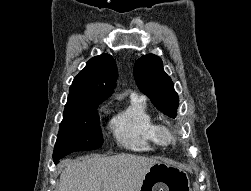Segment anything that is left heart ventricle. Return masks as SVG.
Segmentation results:
<instances>
[{
  "mask_svg": "<svg viewBox=\"0 0 251 191\" xmlns=\"http://www.w3.org/2000/svg\"><path fill=\"white\" fill-rule=\"evenodd\" d=\"M163 138H164V141L167 143V144H171L173 139H174V136L173 134L169 133V132H166L164 133L163 135Z\"/></svg>",
  "mask_w": 251,
  "mask_h": 191,
  "instance_id": "left-heart-ventricle-1",
  "label": "left heart ventricle"
}]
</instances>
